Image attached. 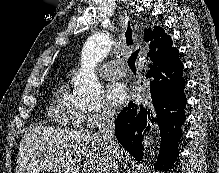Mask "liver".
<instances>
[{"instance_id": "6515ba94", "label": "liver", "mask_w": 219, "mask_h": 173, "mask_svg": "<svg viewBox=\"0 0 219 173\" xmlns=\"http://www.w3.org/2000/svg\"><path fill=\"white\" fill-rule=\"evenodd\" d=\"M119 154L121 161L120 147ZM108 156L107 146L95 132L36 127L21 139L16 173H107Z\"/></svg>"}]
</instances>
